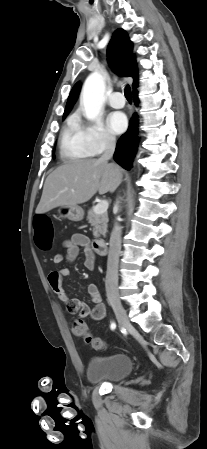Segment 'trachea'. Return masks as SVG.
Masks as SVG:
<instances>
[{
  "instance_id": "obj_1",
  "label": "trachea",
  "mask_w": 207,
  "mask_h": 449,
  "mask_svg": "<svg viewBox=\"0 0 207 449\" xmlns=\"http://www.w3.org/2000/svg\"><path fill=\"white\" fill-rule=\"evenodd\" d=\"M125 97L128 101H132L131 88L129 85L126 86L124 90Z\"/></svg>"
}]
</instances>
